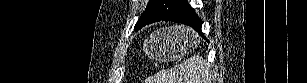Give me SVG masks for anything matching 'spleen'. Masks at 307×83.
Returning a JSON list of instances; mask_svg holds the SVG:
<instances>
[{
  "instance_id": "obj_1",
  "label": "spleen",
  "mask_w": 307,
  "mask_h": 83,
  "mask_svg": "<svg viewBox=\"0 0 307 83\" xmlns=\"http://www.w3.org/2000/svg\"><path fill=\"white\" fill-rule=\"evenodd\" d=\"M210 66L199 55L192 56L170 69H162L146 83H211Z\"/></svg>"
}]
</instances>
